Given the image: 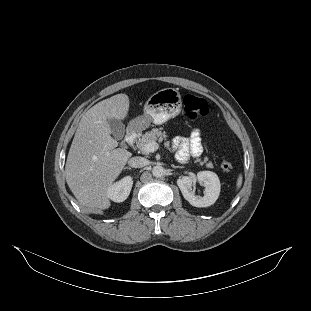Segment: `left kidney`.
Returning <instances> with one entry per match:
<instances>
[{"label": "left kidney", "mask_w": 311, "mask_h": 311, "mask_svg": "<svg viewBox=\"0 0 311 311\" xmlns=\"http://www.w3.org/2000/svg\"><path fill=\"white\" fill-rule=\"evenodd\" d=\"M197 181L205 187L203 196L195 194L192 185L196 179L191 176H182L177 179V185L184 199L192 206L198 208L209 207L216 202L220 192V182L217 175L210 171L197 173Z\"/></svg>", "instance_id": "obj_1"}]
</instances>
